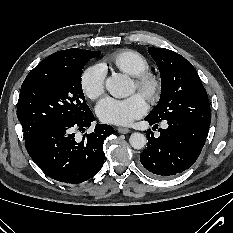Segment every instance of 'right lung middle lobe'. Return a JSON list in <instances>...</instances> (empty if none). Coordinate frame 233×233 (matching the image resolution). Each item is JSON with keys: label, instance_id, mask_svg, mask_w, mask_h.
Wrapping results in <instances>:
<instances>
[{"label": "right lung middle lobe", "instance_id": "obj_1", "mask_svg": "<svg viewBox=\"0 0 233 233\" xmlns=\"http://www.w3.org/2000/svg\"><path fill=\"white\" fill-rule=\"evenodd\" d=\"M100 53L79 48L58 51L30 71L21 86L17 109L25 141L45 129L75 123L91 112L81 74L85 63Z\"/></svg>", "mask_w": 233, "mask_h": 233}]
</instances>
